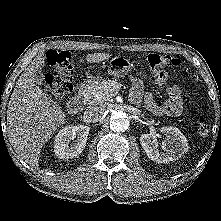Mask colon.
Listing matches in <instances>:
<instances>
[{
    "label": "colon",
    "instance_id": "5ec220e1",
    "mask_svg": "<svg viewBox=\"0 0 221 221\" xmlns=\"http://www.w3.org/2000/svg\"><path fill=\"white\" fill-rule=\"evenodd\" d=\"M46 62L53 70L45 75L44 82L47 93L54 99H60L72 90L74 67L72 55L69 51L51 50L46 55ZM180 60L170 55L151 53L148 55V65L159 85L167 86L169 82L166 67L177 66ZM211 126L208 120L201 117L198 120L197 131L200 135L209 134Z\"/></svg>",
    "mask_w": 221,
    "mask_h": 221
}]
</instances>
